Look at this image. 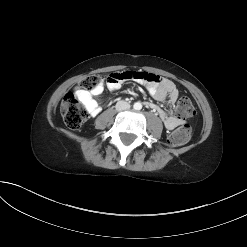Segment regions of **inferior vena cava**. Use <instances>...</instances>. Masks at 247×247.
Segmentation results:
<instances>
[{"label": "inferior vena cava", "mask_w": 247, "mask_h": 247, "mask_svg": "<svg viewBox=\"0 0 247 247\" xmlns=\"http://www.w3.org/2000/svg\"><path fill=\"white\" fill-rule=\"evenodd\" d=\"M130 108V104L128 102L125 101H119L116 104V110L117 111H123V110H127Z\"/></svg>", "instance_id": "602c4592"}]
</instances>
